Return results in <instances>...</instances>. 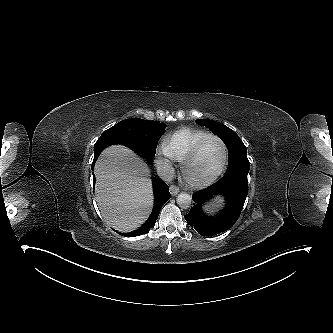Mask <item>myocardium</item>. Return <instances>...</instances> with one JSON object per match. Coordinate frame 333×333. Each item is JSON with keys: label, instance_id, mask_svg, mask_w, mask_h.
Returning a JSON list of instances; mask_svg holds the SVG:
<instances>
[{"label": "myocardium", "instance_id": "obj_1", "mask_svg": "<svg viewBox=\"0 0 333 333\" xmlns=\"http://www.w3.org/2000/svg\"><path fill=\"white\" fill-rule=\"evenodd\" d=\"M211 139L218 140L221 143L222 147H223L222 163H221L219 169L211 177H209L207 179H203V180L193 179L188 174V166L196 158V156L198 155L202 146L208 140H211ZM227 162H228V148H227V145H226L225 141L217 135L209 134L206 137L199 140L191 148V150L188 152V154L185 156V158L183 159V161L181 163V172H182V175H183L185 181L190 186L195 187V188L205 187V186H208V185L212 184L213 182H215L222 175V173L224 172V170L226 168Z\"/></svg>", "mask_w": 333, "mask_h": 333}]
</instances>
